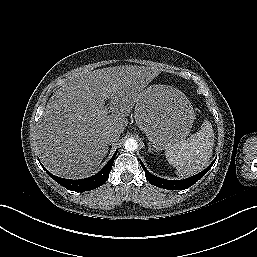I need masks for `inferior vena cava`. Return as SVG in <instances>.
I'll return each instance as SVG.
<instances>
[{"instance_id": "obj_1", "label": "inferior vena cava", "mask_w": 257, "mask_h": 257, "mask_svg": "<svg viewBox=\"0 0 257 257\" xmlns=\"http://www.w3.org/2000/svg\"><path fill=\"white\" fill-rule=\"evenodd\" d=\"M103 137L108 143L117 141L119 139V135L111 131L104 132Z\"/></svg>"}]
</instances>
